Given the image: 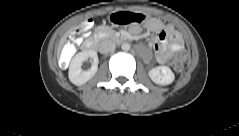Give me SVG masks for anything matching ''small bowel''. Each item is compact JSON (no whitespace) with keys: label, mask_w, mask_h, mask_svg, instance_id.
<instances>
[{"label":"small bowel","mask_w":239,"mask_h":136,"mask_svg":"<svg viewBox=\"0 0 239 136\" xmlns=\"http://www.w3.org/2000/svg\"><path fill=\"white\" fill-rule=\"evenodd\" d=\"M146 28L152 32H156V41L153 43L156 60L160 64L169 63L174 58V55L182 49V42L179 34L174 31L172 26L167 25L165 30L170 36V43L167 46V36L165 31H163V24L158 19H149L146 23ZM130 31L132 34L138 35L141 33V28L137 27L135 30Z\"/></svg>","instance_id":"obj_1"}]
</instances>
